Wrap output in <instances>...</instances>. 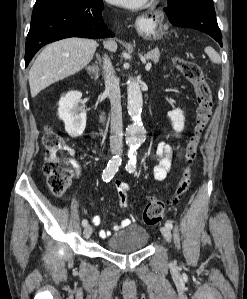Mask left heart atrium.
<instances>
[{
  "label": "left heart atrium",
  "instance_id": "left-heart-atrium-1",
  "mask_svg": "<svg viewBox=\"0 0 247 299\" xmlns=\"http://www.w3.org/2000/svg\"><path fill=\"white\" fill-rule=\"evenodd\" d=\"M107 1L114 5H119L127 8H136L143 5L147 0H107Z\"/></svg>",
  "mask_w": 247,
  "mask_h": 299
}]
</instances>
